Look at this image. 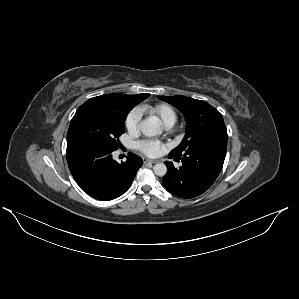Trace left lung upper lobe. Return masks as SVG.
Returning <instances> with one entry per match:
<instances>
[{"instance_id":"5c2ea615","label":"left lung upper lobe","mask_w":299,"mask_h":299,"mask_svg":"<svg viewBox=\"0 0 299 299\" xmlns=\"http://www.w3.org/2000/svg\"><path fill=\"white\" fill-rule=\"evenodd\" d=\"M184 113L186 134L173 157H182L190 151L211 144H227V130L222 115L205 101L185 96H158Z\"/></svg>"}]
</instances>
